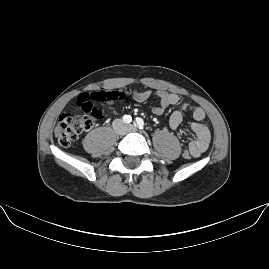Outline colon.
<instances>
[{"label":"colon","instance_id":"5ec220e1","mask_svg":"<svg viewBox=\"0 0 269 269\" xmlns=\"http://www.w3.org/2000/svg\"><path fill=\"white\" fill-rule=\"evenodd\" d=\"M131 92L130 89L127 90ZM91 92L84 91L78 97V105L83 110V114L64 113L58 118L55 126V136L59 143L69 145L73 143L79 135L97 126L100 119L98 107H95L94 101L90 98ZM95 100H124L130 98L129 93L121 92L114 89H107L101 92L95 91L92 94ZM182 158L190 159V152L187 150L182 151Z\"/></svg>","mask_w":269,"mask_h":269}]
</instances>
